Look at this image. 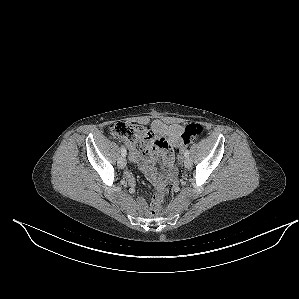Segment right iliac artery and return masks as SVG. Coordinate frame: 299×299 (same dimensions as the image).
<instances>
[{"mask_svg": "<svg viewBox=\"0 0 299 299\" xmlns=\"http://www.w3.org/2000/svg\"><path fill=\"white\" fill-rule=\"evenodd\" d=\"M126 154H127V151H126L125 147L122 146V147H121V155H122V156H126Z\"/></svg>", "mask_w": 299, "mask_h": 299, "instance_id": "right-iliac-artery-1", "label": "right iliac artery"}]
</instances>
